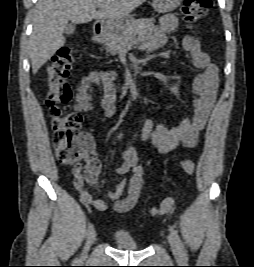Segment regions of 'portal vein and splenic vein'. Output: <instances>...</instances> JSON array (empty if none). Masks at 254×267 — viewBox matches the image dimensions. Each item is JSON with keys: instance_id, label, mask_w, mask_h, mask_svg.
Listing matches in <instances>:
<instances>
[{"instance_id": "portal-vein-and-splenic-vein-1", "label": "portal vein and splenic vein", "mask_w": 254, "mask_h": 267, "mask_svg": "<svg viewBox=\"0 0 254 267\" xmlns=\"http://www.w3.org/2000/svg\"><path fill=\"white\" fill-rule=\"evenodd\" d=\"M98 8H100V5H98ZM138 42V40H132L130 43H129V45L128 46H130V45H133V44H136Z\"/></svg>"}]
</instances>
